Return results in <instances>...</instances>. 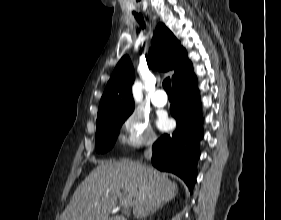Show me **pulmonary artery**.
I'll use <instances>...</instances> for the list:
<instances>
[{
	"instance_id": "1",
	"label": "pulmonary artery",
	"mask_w": 281,
	"mask_h": 220,
	"mask_svg": "<svg viewBox=\"0 0 281 220\" xmlns=\"http://www.w3.org/2000/svg\"><path fill=\"white\" fill-rule=\"evenodd\" d=\"M152 103L157 107H164L167 104V95L163 89H157L152 96Z\"/></svg>"
}]
</instances>
